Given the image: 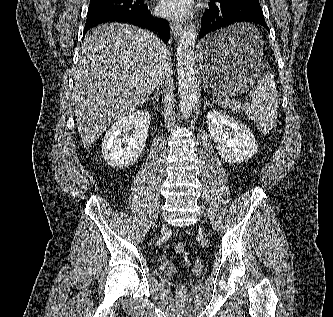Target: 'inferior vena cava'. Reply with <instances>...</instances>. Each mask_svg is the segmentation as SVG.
<instances>
[{
	"instance_id": "1",
	"label": "inferior vena cava",
	"mask_w": 333,
	"mask_h": 317,
	"mask_svg": "<svg viewBox=\"0 0 333 317\" xmlns=\"http://www.w3.org/2000/svg\"><path fill=\"white\" fill-rule=\"evenodd\" d=\"M168 67V61L166 59V51L165 49L162 51L161 56L158 58L157 66H156V85L158 86L162 83L163 78L166 76L165 72Z\"/></svg>"
}]
</instances>
